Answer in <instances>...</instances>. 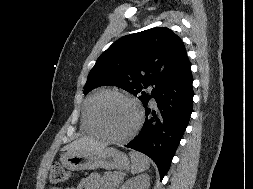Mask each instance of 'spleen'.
<instances>
[{"label": "spleen", "mask_w": 253, "mask_h": 189, "mask_svg": "<svg viewBox=\"0 0 253 189\" xmlns=\"http://www.w3.org/2000/svg\"><path fill=\"white\" fill-rule=\"evenodd\" d=\"M129 155L132 161V166H131L132 174H138L149 168L150 160L144 154L132 151L129 153Z\"/></svg>", "instance_id": "spleen-1"}]
</instances>
